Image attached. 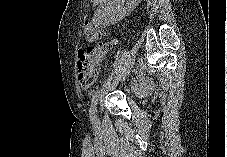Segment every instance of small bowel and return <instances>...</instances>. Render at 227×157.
I'll return each mask as SVG.
<instances>
[{
    "label": "small bowel",
    "instance_id": "1",
    "mask_svg": "<svg viewBox=\"0 0 227 157\" xmlns=\"http://www.w3.org/2000/svg\"><path fill=\"white\" fill-rule=\"evenodd\" d=\"M140 78H141L140 84L137 82L133 83L130 90L133 91L136 95L142 97L148 95L151 92L152 85L145 79L143 74L140 75Z\"/></svg>",
    "mask_w": 227,
    "mask_h": 157
}]
</instances>
